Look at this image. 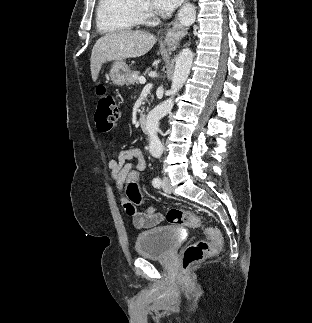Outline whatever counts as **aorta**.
<instances>
[{
  "label": "aorta",
  "instance_id": "aorta-1",
  "mask_svg": "<svg viewBox=\"0 0 312 323\" xmlns=\"http://www.w3.org/2000/svg\"><path fill=\"white\" fill-rule=\"evenodd\" d=\"M193 58L194 54L191 52L190 48H185V50L180 52L179 56H177L174 76L172 78L170 90L171 98H168V100L162 102L160 106L151 110L146 118L145 130L149 136V150L151 154H162L163 152V146L157 136L159 122L168 112H171L174 106L173 98L176 92H179V90L183 88L190 74Z\"/></svg>",
  "mask_w": 312,
  "mask_h": 323
}]
</instances>
